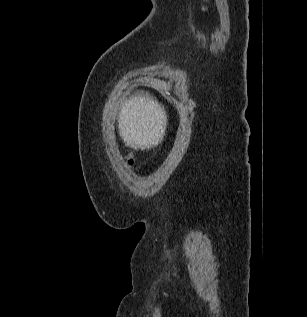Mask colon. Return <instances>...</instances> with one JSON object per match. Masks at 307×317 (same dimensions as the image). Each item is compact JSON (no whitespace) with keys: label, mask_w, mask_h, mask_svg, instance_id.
<instances>
[{"label":"colon","mask_w":307,"mask_h":317,"mask_svg":"<svg viewBox=\"0 0 307 317\" xmlns=\"http://www.w3.org/2000/svg\"><path fill=\"white\" fill-rule=\"evenodd\" d=\"M127 161H128V165H129V166L134 165L135 160H134L133 157H128V158H127Z\"/></svg>","instance_id":"1"}]
</instances>
